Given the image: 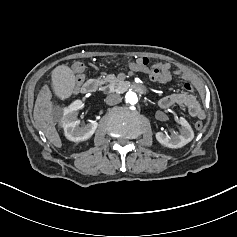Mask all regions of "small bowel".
Here are the masks:
<instances>
[{
  "instance_id": "obj_1",
  "label": "small bowel",
  "mask_w": 237,
  "mask_h": 237,
  "mask_svg": "<svg viewBox=\"0 0 237 237\" xmlns=\"http://www.w3.org/2000/svg\"><path fill=\"white\" fill-rule=\"evenodd\" d=\"M138 61L139 59L130 64L131 69L137 72L145 73L144 69L138 65ZM157 66L160 68L161 74L165 82L170 81L173 75H176L177 77L185 80V83H184L185 92L166 95L162 97L161 99H159L158 105L161 108L179 106L182 110L187 112L191 117L204 119L205 111L201 107L197 98L192 94L193 89H194L193 83H192L193 81L192 74L181 68H178L173 71L171 64L168 62L158 64ZM82 81H83L82 77H77L75 90H77V88L82 83Z\"/></svg>"
}]
</instances>
